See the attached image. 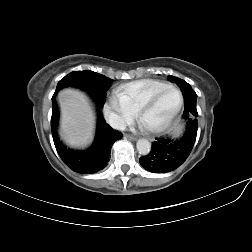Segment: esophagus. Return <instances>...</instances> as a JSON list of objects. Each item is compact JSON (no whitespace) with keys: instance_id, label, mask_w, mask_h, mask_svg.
Returning a JSON list of instances; mask_svg holds the SVG:
<instances>
[{"instance_id":"34e87169","label":"esophagus","mask_w":252,"mask_h":252,"mask_svg":"<svg viewBox=\"0 0 252 252\" xmlns=\"http://www.w3.org/2000/svg\"><path fill=\"white\" fill-rule=\"evenodd\" d=\"M124 138H125V139H128V140H130V141H136V139H137L136 137L131 136V135H127V134L124 135Z\"/></svg>"}]
</instances>
